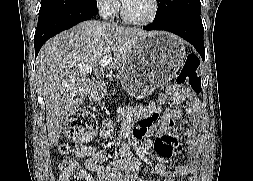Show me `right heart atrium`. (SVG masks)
<instances>
[{"instance_id":"right-heart-atrium-1","label":"right heart atrium","mask_w":253,"mask_h":181,"mask_svg":"<svg viewBox=\"0 0 253 181\" xmlns=\"http://www.w3.org/2000/svg\"><path fill=\"white\" fill-rule=\"evenodd\" d=\"M98 13L106 20H112L116 17L120 9L118 0H94Z\"/></svg>"}]
</instances>
